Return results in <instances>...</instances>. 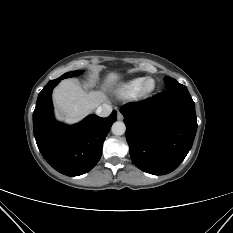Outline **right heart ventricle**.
<instances>
[{"label": "right heart ventricle", "mask_w": 233, "mask_h": 233, "mask_svg": "<svg viewBox=\"0 0 233 233\" xmlns=\"http://www.w3.org/2000/svg\"><path fill=\"white\" fill-rule=\"evenodd\" d=\"M144 80V77H137L124 83L119 89V94L125 98L137 95Z\"/></svg>", "instance_id": "obj_1"}]
</instances>
